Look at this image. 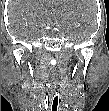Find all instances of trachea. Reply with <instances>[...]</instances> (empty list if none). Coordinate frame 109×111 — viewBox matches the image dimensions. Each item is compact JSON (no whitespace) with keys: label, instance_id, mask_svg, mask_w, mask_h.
Wrapping results in <instances>:
<instances>
[{"label":"trachea","instance_id":"3493384b","mask_svg":"<svg viewBox=\"0 0 109 111\" xmlns=\"http://www.w3.org/2000/svg\"><path fill=\"white\" fill-rule=\"evenodd\" d=\"M53 107H54V104H53ZM52 111H56V110L53 108Z\"/></svg>","mask_w":109,"mask_h":111}]
</instances>
